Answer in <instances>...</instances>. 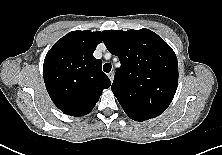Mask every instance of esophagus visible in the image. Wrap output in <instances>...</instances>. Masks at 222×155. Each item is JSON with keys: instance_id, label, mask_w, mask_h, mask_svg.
<instances>
[{"instance_id": "obj_1", "label": "esophagus", "mask_w": 222, "mask_h": 155, "mask_svg": "<svg viewBox=\"0 0 222 155\" xmlns=\"http://www.w3.org/2000/svg\"><path fill=\"white\" fill-rule=\"evenodd\" d=\"M107 75H108L110 81L112 82L113 79H114V73H113V72H110V73H108Z\"/></svg>"}]
</instances>
